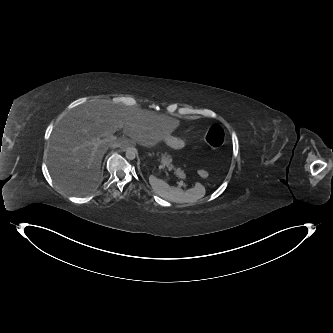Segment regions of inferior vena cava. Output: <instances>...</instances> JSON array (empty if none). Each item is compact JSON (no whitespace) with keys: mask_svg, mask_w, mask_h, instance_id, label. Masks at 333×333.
I'll return each mask as SVG.
<instances>
[{"mask_svg":"<svg viewBox=\"0 0 333 333\" xmlns=\"http://www.w3.org/2000/svg\"><path fill=\"white\" fill-rule=\"evenodd\" d=\"M110 147H112V148H117V147H120V144H118V143H113V144L110 145Z\"/></svg>","mask_w":333,"mask_h":333,"instance_id":"1","label":"inferior vena cava"}]
</instances>
